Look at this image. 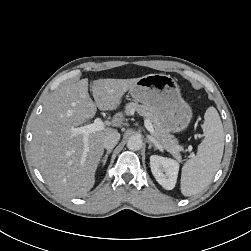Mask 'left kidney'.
<instances>
[{
	"mask_svg": "<svg viewBox=\"0 0 251 251\" xmlns=\"http://www.w3.org/2000/svg\"><path fill=\"white\" fill-rule=\"evenodd\" d=\"M150 167L156 181L166 190H172L177 182L179 163L158 155L150 157Z\"/></svg>",
	"mask_w": 251,
	"mask_h": 251,
	"instance_id": "left-kidney-1",
	"label": "left kidney"
}]
</instances>
